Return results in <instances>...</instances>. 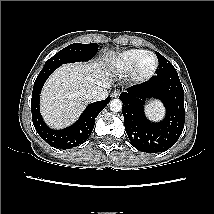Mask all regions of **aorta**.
<instances>
[{
  "label": "aorta",
  "mask_w": 214,
  "mask_h": 214,
  "mask_svg": "<svg viewBox=\"0 0 214 214\" xmlns=\"http://www.w3.org/2000/svg\"><path fill=\"white\" fill-rule=\"evenodd\" d=\"M109 106L111 111L119 112L121 111L123 104L120 99H113L110 101Z\"/></svg>",
  "instance_id": "1"
}]
</instances>
